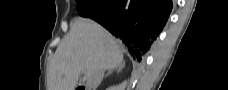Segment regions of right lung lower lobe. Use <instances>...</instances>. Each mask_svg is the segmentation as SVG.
<instances>
[{
	"instance_id": "1",
	"label": "right lung lower lobe",
	"mask_w": 228,
	"mask_h": 90,
	"mask_svg": "<svg viewBox=\"0 0 228 90\" xmlns=\"http://www.w3.org/2000/svg\"><path fill=\"white\" fill-rule=\"evenodd\" d=\"M172 6L171 0H107L92 19L119 38L140 62L166 24Z\"/></svg>"
}]
</instances>
